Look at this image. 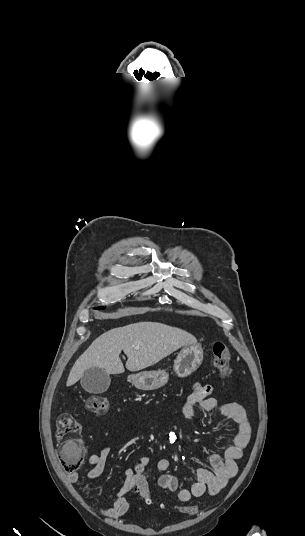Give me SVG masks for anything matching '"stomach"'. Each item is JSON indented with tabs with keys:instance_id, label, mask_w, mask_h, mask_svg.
I'll use <instances>...</instances> for the list:
<instances>
[{
	"instance_id": "obj_1",
	"label": "stomach",
	"mask_w": 305,
	"mask_h": 536,
	"mask_svg": "<svg viewBox=\"0 0 305 536\" xmlns=\"http://www.w3.org/2000/svg\"><path fill=\"white\" fill-rule=\"evenodd\" d=\"M203 360V350L201 344H189L183 346L174 362V372L179 378H186L192 372L198 370ZM129 382H132L138 390H158L168 382V374L165 370L157 372H140L134 376H128Z\"/></svg>"
}]
</instances>
